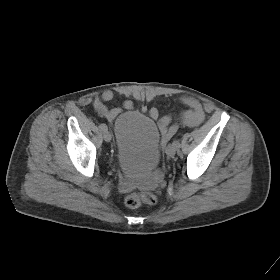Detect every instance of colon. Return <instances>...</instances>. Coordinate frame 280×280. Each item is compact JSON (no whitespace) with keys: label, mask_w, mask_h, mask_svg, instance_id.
I'll return each mask as SVG.
<instances>
[{"label":"colon","mask_w":280,"mask_h":280,"mask_svg":"<svg viewBox=\"0 0 280 280\" xmlns=\"http://www.w3.org/2000/svg\"><path fill=\"white\" fill-rule=\"evenodd\" d=\"M124 202L129 208H137L141 204L154 205L157 203V196L151 192H133L126 195Z\"/></svg>","instance_id":"1"}]
</instances>
